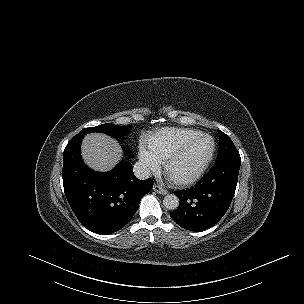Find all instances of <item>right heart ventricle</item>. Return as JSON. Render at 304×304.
<instances>
[{"label":"right heart ventricle","instance_id":"e07e8e85","mask_svg":"<svg viewBox=\"0 0 304 304\" xmlns=\"http://www.w3.org/2000/svg\"><path fill=\"white\" fill-rule=\"evenodd\" d=\"M199 134L200 131L191 128L166 127L153 133L150 146L161 159H166Z\"/></svg>","mask_w":304,"mask_h":304}]
</instances>
